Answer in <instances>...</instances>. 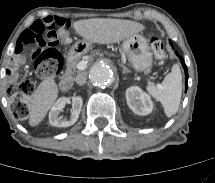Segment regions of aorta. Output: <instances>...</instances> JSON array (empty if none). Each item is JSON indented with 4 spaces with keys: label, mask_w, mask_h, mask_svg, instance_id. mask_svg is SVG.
I'll return each mask as SVG.
<instances>
[{
    "label": "aorta",
    "mask_w": 215,
    "mask_h": 183,
    "mask_svg": "<svg viewBox=\"0 0 215 183\" xmlns=\"http://www.w3.org/2000/svg\"><path fill=\"white\" fill-rule=\"evenodd\" d=\"M89 78L95 86L106 87L112 83L114 79V71L107 63L99 62L92 66Z\"/></svg>",
    "instance_id": "aorta-1"
}]
</instances>
